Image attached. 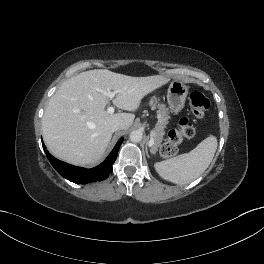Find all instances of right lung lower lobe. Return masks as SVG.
Segmentation results:
<instances>
[{"instance_id": "obj_1", "label": "right lung lower lobe", "mask_w": 264, "mask_h": 264, "mask_svg": "<svg viewBox=\"0 0 264 264\" xmlns=\"http://www.w3.org/2000/svg\"><path fill=\"white\" fill-rule=\"evenodd\" d=\"M122 142H123V138H121L117 142V144L113 148L110 155L106 158V160L103 163H101L99 166L94 167L92 169H85L64 163L54 158L47 151L43 141H42V145L48 160L60 175H62L64 178L68 179L71 182L77 184H86L90 182L102 181L109 176L110 172L113 170L112 165L117 158L118 150Z\"/></svg>"}]
</instances>
